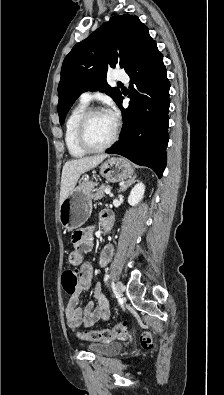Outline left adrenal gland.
<instances>
[{
    "mask_svg": "<svg viewBox=\"0 0 224 395\" xmlns=\"http://www.w3.org/2000/svg\"><path fill=\"white\" fill-rule=\"evenodd\" d=\"M137 175H134L133 177H130V179H128L124 185H122L119 189V192H123L124 190H126L130 185H132L136 180Z\"/></svg>",
    "mask_w": 224,
    "mask_h": 395,
    "instance_id": "obj_1",
    "label": "left adrenal gland"
}]
</instances>
